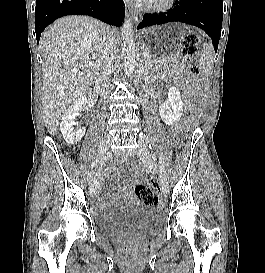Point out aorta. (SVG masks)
Masks as SVG:
<instances>
[{"label": "aorta", "mask_w": 265, "mask_h": 273, "mask_svg": "<svg viewBox=\"0 0 265 273\" xmlns=\"http://www.w3.org/2000/svg\"><path fill=\"white\" fill-rule=\"evenodd\" d=\"M135 17L127 18L121 28V53L124 57V73L126 76L133 74L136 65V51L133 38V22Z\"/></svg>", "instance_id": "1"}]
</instances>
